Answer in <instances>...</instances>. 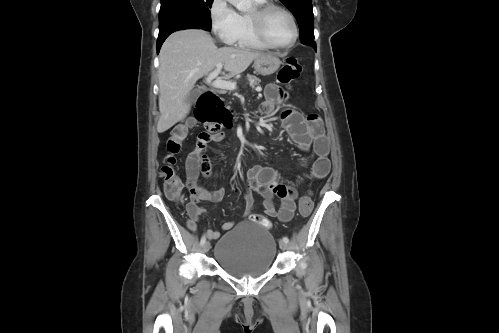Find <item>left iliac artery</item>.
Instances as JSON below:
<instances>
[{
    "instance_id": "44dca946",
    "label": "left iliac artery",
    "mask_w": 499,
    "mask_h": 333,
    "mask_svg": "<svg viewBox=\"0 0 499 333\" xmlns=\"http://www.w3.org/2000/svg\"><path fill=\"white\" fill-rule=\"evenodd\" d=\"M282 240H283L284 242H286V243H288V242H289L288 237H283V238H282Z\"/></svg>"
}]
</instances>
